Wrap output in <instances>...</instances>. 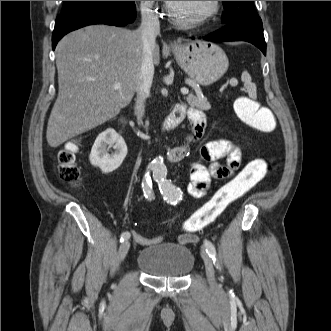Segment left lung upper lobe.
<instances>
[{"label":"left lung upper lobe","instance_id":"left-lung-upper-lobe-1","mask_svg":"<svg viewBox=\"0 0 331 331\" xmlns=\"http://www.w3.org/2000/svg\"><path fill=\"white\" fill-rule=\"evenodd\" d=\"M223 5L225 9L221 18L223 24L258 17L253 1H223Z\"/></svg>","mask_w":331,"mask_h":331}]
</instances>
